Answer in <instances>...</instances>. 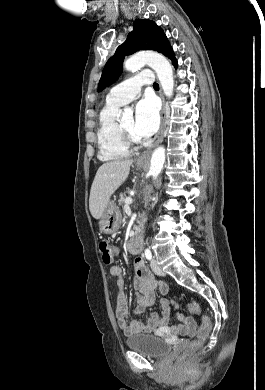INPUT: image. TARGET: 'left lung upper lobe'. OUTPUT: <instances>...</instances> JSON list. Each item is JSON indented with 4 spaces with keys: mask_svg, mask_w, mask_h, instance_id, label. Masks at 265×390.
Returning <instances> with one entry per match:
<instances>
[{
    "mask_svg": "<svg viewBox=\"0 0 265 390\" xmlns=\"http://www.w3.org/2000/svg\"><path fill=\"white\" fill-rule=\"evenodd\" d=\"M134 29L128 34L126 41L120 45L115 54L107 61L99 84L98 91L114 83L122 73L125 55L140 50H154L172 59L175 55L163 30L148 19L134 21Z\"/></svg>",
    "mask_w": 265,
    "mask_h": 390,
    "instance_id": "left-lung-upper-lobe-1",
    "label": "left lung upper lobe"
}]
</instances>
